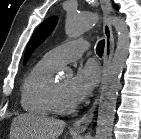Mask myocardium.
Instances as JSON below:
<instances>
[{
    "mask_svg": "<svg viewBox=\"0 0 141 139\" xmlns=\"http://www.w3.org/2000/svg\"><path fill=\"white\" fill-rule=\"evenodd\" d=\"M51 101L54 111L59 114H68L76 109L75 103L67 104L62 100L59 88L54 81L51 85Z\"/></svg>",
    "mask_w": 141,
    "mask_h": 139,
    "instance_id": "1",
    "label": "myocardium"
}]
</instances>
